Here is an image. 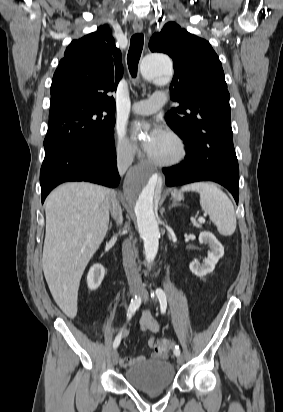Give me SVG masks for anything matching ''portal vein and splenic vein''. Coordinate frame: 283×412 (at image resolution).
Masks as SVG:
<instances>
[{
    "instance_id": "portal-vein-and-splenic-vein-1",
    "label": "portal vein and splenic vein",
    "mask_w": 283,
    "mask_h": 412,
    "mask_svg": "<svg viewBox=\"0 0 283 412\" xmlns=\"http://www.w3.org/2000/svg\"><path fill=\"white\" fill-rule=\"evenodd\" d=\"M198 221H199L200 224H203V223H205V218L200 217V218L198 219Z\"/></svg>"
}]
</instances>
